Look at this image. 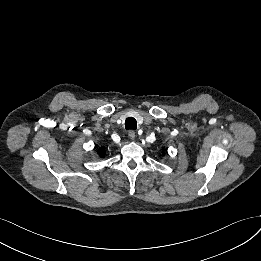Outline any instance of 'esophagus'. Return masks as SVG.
<instances>
[{
    "label": "esophagus",
    "mask_w": 261,
    "mask_h": 261,
    "mask_svg": "<svg viewBox=\"0 0 261 261\" xmlns=\"http://www.w3.org/2000/svg\"><path fill=\"white\" fill-rule=\"evenodd\" d=\"M128 136H129L130 139L133 140L135 138V136H136L135 131L134 130H130L128 132Z\"/></svg>",
    "instance_id": "esophagus-1"
}]
</instances>
